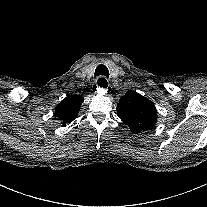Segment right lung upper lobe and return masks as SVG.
Masks as SVG:
<instances>
[{
  "mask_svg": "<svg viewBox=\"0 0 207 207\" xmlns=\"http://www.w3.org/2000/svg\"><path fill=\"white\" fill-rule=\"evenodd\" d=\"M83 98L79 95L67 96L55 108V116L58 117L63 125L74 120L80 110Z\"/></svg>",
  "mask_w": 207,
  "mask_h": 207,
  "instance_id": "obj_1",
  "label": "right lung upper lobe"
}]
</instances>
